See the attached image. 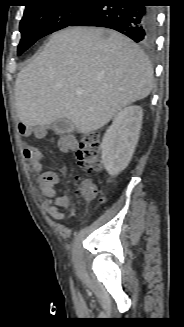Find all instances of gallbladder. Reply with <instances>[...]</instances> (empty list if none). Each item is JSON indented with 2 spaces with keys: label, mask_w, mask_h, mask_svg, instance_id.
<instances>
[{
  "label": "gallbladder",
  "mask_w": 184,
  "mask_h": 327,
  "mask_svg": "<svg viewBox=\"0 0 184 327\" xmlns=\"http://www.w3.org/2000/svg\"><path fill=\"white\" fill-rule=\"evenodd\" d=\"M74 127H75L74 123L67 118L56 120L52 125V129L57 134L70 133L71 131L74 130Z\"/></svg>",
  "instance_id": "1"
}]
</instances>
